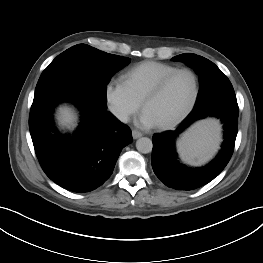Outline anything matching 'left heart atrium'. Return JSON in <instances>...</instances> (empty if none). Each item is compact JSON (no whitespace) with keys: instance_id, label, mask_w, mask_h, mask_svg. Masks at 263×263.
<instances>
[{"instance_id":"1","label":"left heart atrium","mask_w":263,"mask_h":263,"mask_svg":"<svg viewBox=\"0 0 263 263\" xmlns=\"http://www.w3.org/2000/svg\"><path fill=\"white\" fill-rule=\"evenodd\" d=\"M137 123L139 126H141L143 128H152V127L157 126L156 121L153 119V117L146 110H144L142 112Z\"/></svg>"}]
</instances>
